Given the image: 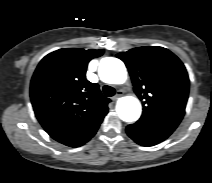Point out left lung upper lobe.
<instances>
[{"instance_id": "left-lung-upper-lobe-1", "label": "left lung upper lobe", "mask_w": 212, "mask_h": 183, "mask_svg": "<svg viewBox=\"0 0 212 183\" xmlns=\"http://www.w3.org/2000/svg\"><path fill=\"white\" fill-rule=\"evenodd\" d=\"M117 57L126 64L135 93L145 99L138 122L174 131L184 116L189 92L183 63L163 47H138Z\"/></svg>"}]
</instances>
